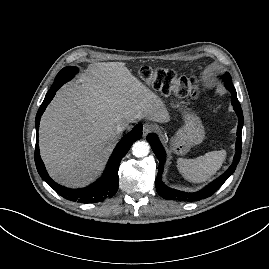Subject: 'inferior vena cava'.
<instances>
[{
  "mask_svg": "<svg viewBox=\"0 0 269 269\" xmlns=\"http://www.w3.org/2000/svg\"><path fill=\"white\" fill-rule=\"evenodd\" d=\"M129 126L128 123H121V124H118L117 127H116V131L118 134L122 133L125 129H127Z\"/></svg>",
  "mask_w": 269,
  "mask_h": 269,
  "instance_id": "602c4592",
  "label": "inferior vena cava"
}]
</instances>
